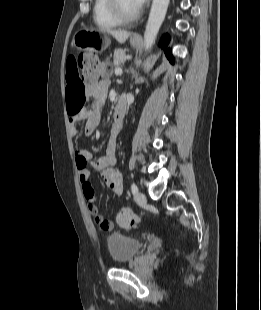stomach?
<instances>
[{
    "instance_id": "0dacf381",
    "label": "stomach",
    "mask_w": 261,
    "mask_h": 310,
    "mask_svg": "<svg viewBox=\"0 0 261 310\" xmlns=\"http://www.w3.org/2000/svg\"><path fill=\"white\" fill-rule=\"evenodd\" d=\"M73 44L80 50H91L101 52L109 45V39L105 33L94 29H82L75 33ZM133 47H137L138 43L131 41Z\"/></svg>"
}]
</instances>
